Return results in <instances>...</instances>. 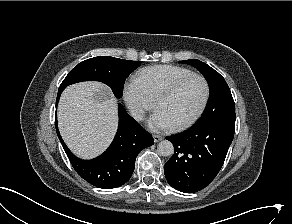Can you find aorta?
I'll list each match as a JSON object with an SVG mask.
<instances>
[{
  "label": "aorta",
  "instance_id": "762f6f07",
  "mask_svg": "<svg viewBox=\"0 0 292 224\" xmlns=\"http://www.w3.org/2000/svg\"><path fill=\"white\" fill-rule=\"evenodd\" d=\"M158 153L162 156H171L174 153V146L168 140H163L158 144Z\"/></svg>",
  "mask_w": 292,
  "mask_h": 224
}]
</instances>
